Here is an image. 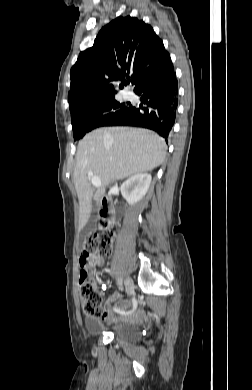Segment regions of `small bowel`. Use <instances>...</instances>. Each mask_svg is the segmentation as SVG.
<instances>
[{
	"label": "small bowel",
	"mask_w": 252,
	"mask_h": 390,
	"mask_svg": "<svg viewBox=\"0 0 252 390\" xmlns=\"http://www.w3.org/2000/svg\"><path fill=\"white\" fill-rule=\"evenodd\" d=\"M98 265H102L104 263L103 258H98L97 259ZM115 303L116 304V309H121L122 311L128 312V315L121 316V319L123 321H128V322H138L142 319L143 313L141 310H138L134 315H131L130 312V303L128 301L122 300L120 297V294L115 292L112 293L105 303V313L103 318L108 319L112 317V313L110 311L111 304Z\"/></svg>",
	"instance_id": "small-bowel-1"
}]
</instances>
